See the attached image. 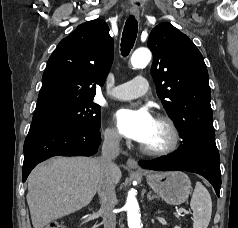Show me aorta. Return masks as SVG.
<instances>
[{
    "mask_svg": "<svg viewBox=\"0 0 238 228\" xmlns=\"http://www.w3.org/2000/svg\"><path fill=\"white\" fill-rule=\"evenodd\" d=\"M151 52L147 48H139L134 51L131 56V65L133 68H142L148 65L151 60ZM125 209L127 211V221L129 228H142L141 215L139 213V205L134 193L129 192Z\"/></svg>",
    "mask_w": 238,
    "mask_h": 228,
    "instance_id": "1",
    "label": "aorta"
}]
</instances>
